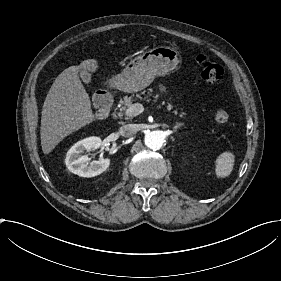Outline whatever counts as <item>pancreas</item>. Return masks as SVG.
Wrapping results in <instances>:
<instances>
[{
	"label": "pancreas",
	"mask_w": 281,
	"mask_h": 281,
	"mask_svg": "<svg viewBox=\"0 0 281 281\" xmlns=\"http://www.w3.org/2000/svg\"><path fill=\"white\" fill-rule=\"evenodd\" d=\"M132 96L128 97V96H123L120 98V108L119 111L116 112V114L119 116L120 119H125V120H132L133 119V115H128L125 116V113L127 111L128 108H130L132 106ZM167 110L170 111L171 110V106L169 105L167 107Z\"/></svg>",
	"instance_id": "obj_1"
}]
</instances>
